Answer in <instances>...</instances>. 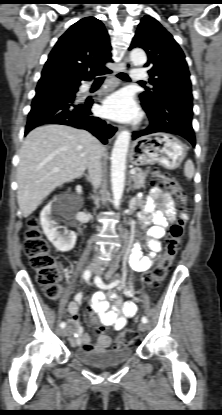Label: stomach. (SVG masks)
<instances>
[{
    "instance_id": "stomach-1",
    "label": "stomach",
    "mask_w": 222,
    "mask_h": 415,
    "mask_svg": "<svg viewBox=\"0 0 222 415\" xmlns=\"http://www.w3.org/2000/svg\"><path fill=\"white\" fill-rule=\"evenodd\" d=\"M186 155V146L179 139L170 134L155 133L134 141L130 160L136 166L159 163L175 169Z\"/></svg>"
}]
</instances>
